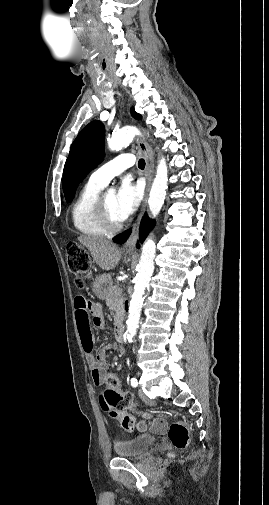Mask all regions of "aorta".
<instances>
[{"label": "aorta", "mask_w": 269, "mask_h": 505, "mask_svg": "<svg viewBox=\"0 0 269 505\" xmlns=\"http://www.w3.org/2000/svg\"><path fill=\"white\" fill-rule=\"evenodd\" d=\"M139 134L135 127L127 126L112 134L108 139V147L112 151H119L127 146L131 140ZM168 184V169L165 158L158 161L156 175L150 190L148 206L153 217H156L164 204L166 189ZM115 190L109 189L107 197L114 195ZM156 253L155 242L147 238L142 246L141 257L138 264L137 275L134 280V292L129 306L127 319V339L132 342L138 328L142 304L146 288L150 282Z\"/></svg>", "instance_id": "obj_1"}]
</instances>
